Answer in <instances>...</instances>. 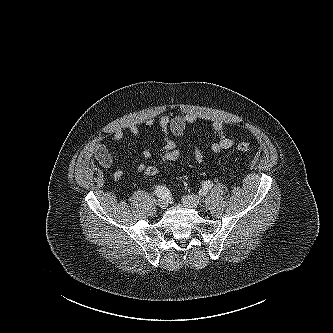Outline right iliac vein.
<instances>
[{
    "mask_svg": "<svg viewBox=\"0 0 333 333\" xmlns=\"http://www.w3.org/2000/svg\"><path fill=\"white\" fill-rule=\"evenodd\" d=\"M157 204L160 208L165 209L168 206V200L166 198H160Z\"/></svg>",
    "mask_w": 333,
    "mask_h": 333,
    "instance_id": "right-iliac-vein-1",
    "label": "right iliac vein"
}]
</instances>
